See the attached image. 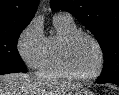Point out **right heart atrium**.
Masks as SVG:
<instances>
[{
    "mask_svg": "<svg viewBox=\"0 0 119 95\" xmlns=\"http://www.w3.org/2000/svg\"><path fill=\"white\" fill-rule=\"evenodd\" d=\"M46 37L39 20L33 19L21 31L18 41V52L31 69H38L45 49Z\"/></svg>",
    "mask_w": 119,
    "mask_h": 95,
    "instance_id": "obj_1",
    "label": "right heart atrium"
}]
</instances>
